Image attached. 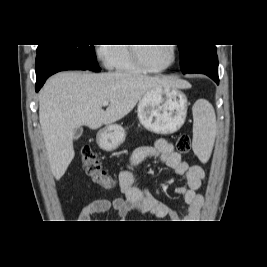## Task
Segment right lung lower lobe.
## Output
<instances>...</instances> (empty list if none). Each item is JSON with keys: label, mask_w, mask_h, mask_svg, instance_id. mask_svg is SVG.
<instances>
[{"label": "right lung lower lobe", "mask_w": 267, "mask_h": 267, "mask_svg": "<svg viewBox=\"0 0 267 267\" xmlns=\"http://www.w3.org/2000/svg\"><path fill=\"white\" fill-rule=\"evenodd\" d=\"M36 92L45 83L46 79L60 71L89 70L84 65L53 51L37 53L36 57Z\"/></svg>", "instance_id": "right-lung-lower-lobe-1"}]
</instances>
